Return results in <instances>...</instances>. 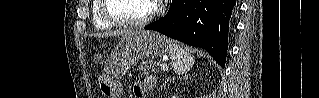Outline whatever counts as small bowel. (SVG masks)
<instances>
[{"instance_id":"c3829d8e","label":"small bowel","mask_w":319,"mask_h":98,"mask_svg":"<svg viewBox=\"0 0 319 98\" xmlns=\"http://www.w3.org/2000/svg\"><path fill=\"white\" fill-rule=\"evenodd\" d=\"M155 78L148 76L142 82H136L133 87L134 95L137 98H145L147 91L153 89L155 86Z\"/></svg>"}]
</instances>
